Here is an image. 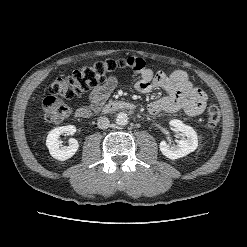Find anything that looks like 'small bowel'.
Wrapping results in <instances>:
<instances>
[{"label":"small bowel","mask_w":247,"mask_h":247,"mask_svg":"<svg viewBox=\"0 0 247 247\" xmlns=\"http://www.w3.org/2000/svg\"><path fill=\"white\" fill-rule=\"evenodd\" d=\"M132 69L139 76L135 84L137 91L148 93L152 89H162L166 96L152 101L148 111L152 114L160 112H185L188 116H198L206 107L207 96L203 90L196 88L189 80L188 74L183 70L170 72H153L141 58H129ZM117 78L109 77L106 82L96 86L89 96V106L78 107L74 114L78 118H87L97 110L117 87Z\"/></svg>","instance_id":"1"}]
</instances>
